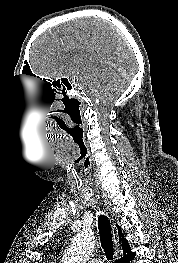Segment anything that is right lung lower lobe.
<instances>
[{
  "instance_id": "right-lung-lower-lobe-1",
  "label": "right lung lower lobe",
  "mask_w": 178,
  "mask_h": 263,
  "mask_svg": "<svg viewBox=\"0 0 178 263\" xmlns=\"http://www.w3.org/2000/svg\"><path fill=\"white\" fill-rule=\"evenodd\" d=\"M134 256L135 253H130L127 256L122 257L119 262L116 260V263H129L131 260L134 259Z\"/></svg>"
}]
</instances>
